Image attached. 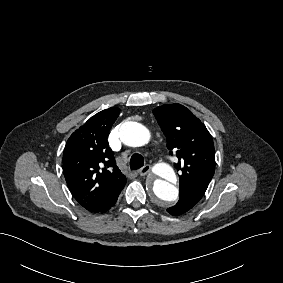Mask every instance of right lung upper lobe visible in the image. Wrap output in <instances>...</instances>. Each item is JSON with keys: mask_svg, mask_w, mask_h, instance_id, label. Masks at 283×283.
I'll use <instances>...</instances> for the list:
<instances>
[{"mask_svg": "<svg viewBox=\"0 0 283 283\" xmlns=\"http://www.w3.org/2000/svg\"><path fill=\"white\" fill-rule=\"evenodd\" d=\"M119 113L116 107L97 113L72 133L64 149L63 172L70 192L93 213L112 204L126 184L107 140Z\"/></svg>", "mask_w": 283, "mask_h": 283, "instance_id": "right-lung-upper-lobe-1", "label": "right lung upper lobe"}]
</instances>
